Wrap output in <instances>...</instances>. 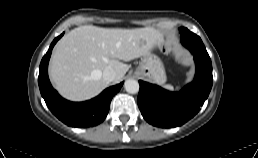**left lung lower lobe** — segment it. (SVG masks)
Here are the masks:
<instances>
[{"mask_svg": "<svg viewBox=\"0 0 258 158\" xmlns=\"http://www.w3.org/2000/svg\"><path fill=\"white\" fill-rule=\"evenodd\" d=\"M181 43L194 55L196 75L192 83L180 92H169L139 81V109L144 119L156 127H177L190 120L199 112L212 88L211 59L200 37L184 28Z\"/></svg>", "mask_w": 258, "mask_h": 158, "instance_id": "0a47b994", "label": "left lung lower lobe"}]
</instances>
